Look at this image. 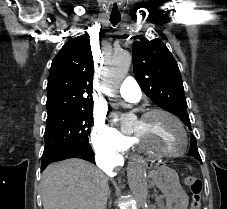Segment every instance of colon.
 Wrapping results in <instances>:
<instances>
[{
    "mask_svg": "<svg viewBox=\"0 0 227 209\" xmlns=\"http://www.w3.org/2000/svg\"><path fill=\"white\" fill-rule=\"evenodd\" d=\"M187 188L190 190L192 200L190 209H202V183L199 178L188 177L185 180Z\"/></svg>",
    "mask_w": 227,
    "mask_h": 209,
    "instance_id": "colon-1",
    "label": "colon"
}]
</instances>
